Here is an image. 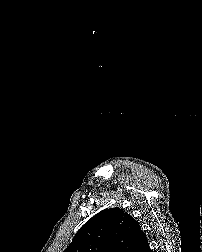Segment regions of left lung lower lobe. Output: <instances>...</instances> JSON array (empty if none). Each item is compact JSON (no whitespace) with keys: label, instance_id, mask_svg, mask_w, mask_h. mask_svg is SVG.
Wrapping results in <instances>:
<instances>
[{"label":"left lung lower lobe","instance_id":"0a47b994","mask_svg":"<svg viewBox=\"0 0 202 252\" xmlns=\"http://www.w3.org/2000/svg\"><path fill=\"white\" fill-rule=\"evenodd\" d=\"M134 252H152V250L149 247L147 237L141 229L138 234V241Z\"/></svg>","mask_w":202,"mask_h":252}]
</instances>
